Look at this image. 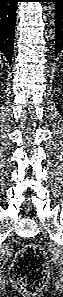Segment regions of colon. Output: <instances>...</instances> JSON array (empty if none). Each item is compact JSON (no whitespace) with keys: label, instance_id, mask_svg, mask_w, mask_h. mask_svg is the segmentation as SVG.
Wrapping results in <instances>:
<instances>
[{"label":"colon","instance_id":"colon-1","mask_svg":"<svg viewBox=\"0 0 63 297\" xmlns=\"http://www.w3.org/2000/svg\"><path fill=\"white\" fill-rule=\"evenodd\" d=\"M48 278L47 259L44 250L36 244L23 247L11 268V279L22 291L34 294Z\"/></svg>","mask_w":63,"mask_h":297}]
</instances>
